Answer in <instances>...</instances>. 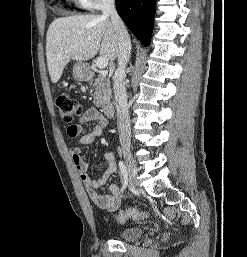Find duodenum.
<instances>
[{
  "label": "duodenum",
  "instance_id": "410a0bca",
  "mask_svg": "<svg viewBox=\"0 0 247 257\" xmlns=\"http://www.w3.org/2000/svg\"><path fill=\"white\" fill-rule=\"evenodd\" d=\"M103 112L107 117H112L114 114V105L112 103H105L103 105Z\"/></svg>",
  "mask_w": 247,
  "mask_h": 257
}]
</instances>
